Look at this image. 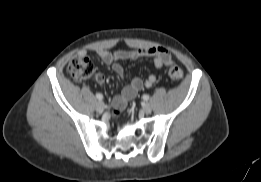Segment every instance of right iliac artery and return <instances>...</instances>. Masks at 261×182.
<instances>
[{"label": "right iliac artery", "mask_w": 261, "mask_h": 182, "mask_svg": "<svg viewBox=\"0 0 261 182\" xmlns=\"http://www.w3.org/2000/svg\"><path fill=\"white\" fill-rule=\"evenodd\" d=\"M96 98H97L98 100H103V95H102L101 93H97V94H96Z\"/></svg>", "instance_id": "right-iliac-artery-1"}]
</instances>
